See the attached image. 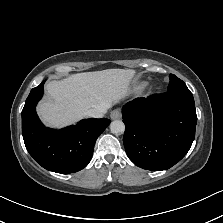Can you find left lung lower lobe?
I'll return each mask as SVG.
<instances>
[{"label": "left lung lower lobe", "instance_id": "1", "mask_svg": "<svg viewBox=\"0 0 223 223\" xmlns=\"http://www.w3.org/2000/svg\"><path fill=\"white\" fill-rule=\"evenodd\" d=\"M123 143L129 159L152 171L166 170L189 151L197 115L192 93L165 92L123 107Z\"/></svg>", "mask_w": 223, "mask_h": 223}]
</instances>
